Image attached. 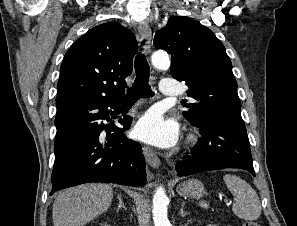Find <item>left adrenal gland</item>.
<instances>
[{
  "mask_svg": "<svg viewBox=\"0 0 297 226\" xmlns=\"http://www.w3.org/2000/svg\"><path fill=\"white\" fill-rule=\"evenodd\" d=\"M184 205H185V203L183 202L182 205H181L180 211H179V214H180L182 217H185L186 215H188L187 212H184Z\"/></svg>",
  "mask_w": 297,
  "mask_h": 226,
  "instance_id": "obj_1",
  "label": "left adrenal gland"
}]
</instances>
